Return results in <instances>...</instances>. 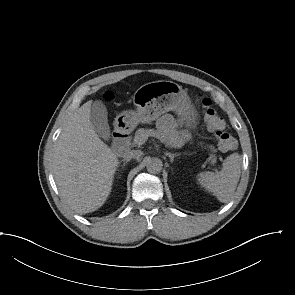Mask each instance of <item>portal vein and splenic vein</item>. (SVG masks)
Instances as JSON below:
<instances>
[{
	"instance_id": "portal-vein-and-splenic-vein-1",
	"label": "portal vein and splenic vein",
	"mask_w": 295,
	"mask_h": 295,
	"mask_svg": "<svg viewBox=\"0 0 295 295\" xmlns=\"http://www.w3.org/2000/svg\"><path fill=\"white\" fill-rule=\"evenodd\" d=\"M149 136L159 139L160 142L165 145V147H168V144L166 143L165 139L158 132H156L154 130H150V132L148 134L142 135L139 144L142 145L143 143H145V141L148 139Z\"/></svg>"
}]
</instances>
